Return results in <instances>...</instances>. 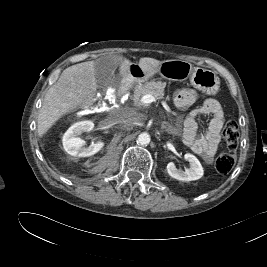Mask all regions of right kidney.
<instances>
[{
	"mask_svg": "<svg viewBox=\"0 0 267 267\" xmlns=\"http://www.w3.org/2000/svg\"><path fill=\"white\" fill-rule=\"evenodd\" d=\"M93 128L94 123L88 120L73 124L63 135L62 143L65 151L72 156L78 157H88L99 152L103 148L104 142L99 141L92 143L89 147H85V141L78 137L83 132H89Z\"/></svg>",
	"mask_w": 267,
	"mask_h": 267,
	"instance_id": "1",
	"label": "right kidney"
}]
</instances>
